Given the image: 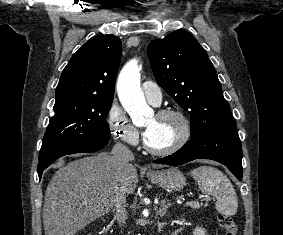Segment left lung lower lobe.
I'll list each match as a JSON object with an SVG mask.
<instances>
[{
	"label": "left lung lower lobe",
	"instance_id": "1",
	"mask_svg": "<svg viewBox=\"0 0 283 235\" xmlns=\"http://www.w3.org/2000/svg\"><path fill=\"white\" fill-rule=\"evenodd\" d=\"M195 159H211L220 162L227 166L238 180L242 179V148L236 130L191 138L174 154L153 162L177 166Z\"/></svg>",
	"mask_w": 283,
	"mask_h": 235
}]
</instances>
